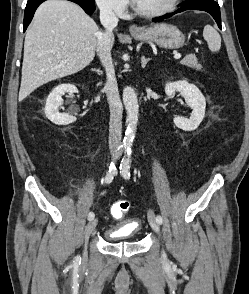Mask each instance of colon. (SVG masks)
<instances>
[{"label":"colon","instance_id":"5ec220e1","mask_svg":"<svg viewBox=\"0 0 249 294\" xmlns=\"http://www.w3.org/2000/svg\"><path fill=\"white\" fill-rule=\"evenodd\" d=\"M130 209V203L127 200H121L112 207V214L116 218L123 217Z\"/></svg>","mask_w":249,"mask_h":294}]
</instances>
